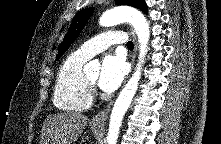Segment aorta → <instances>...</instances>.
Returning <instances> with one entry per match:
<instances>
[{
  "label": "aorta",
  "mask_w": 221,
  "mask_h": 144,
  "mask_svg": "<svg viewBox=\"0 0 221 144\" xmlns=\"http://www.w3.org/2000/svg\"><path fill=\"white\" fill-rule=\"evenodd\" d=\"M123 22H129L135 29L139 42V62L132 77L128 80L113 106L108 134L107 144H116L123 117L129 108L131 101L137 91L141 77L142 64L148 50V41L150 37L149 24L144 15L131 7H115L103 13L99 23L103 27L114 26ZM100 64L97 61H90L84 67L85 72L99 70Z\"/></svg>",
  "instance_id": "1"
}]
</instances>
